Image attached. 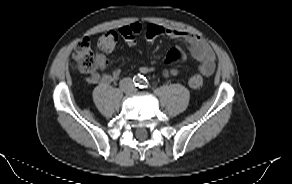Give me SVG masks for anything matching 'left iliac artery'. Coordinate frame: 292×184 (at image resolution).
Instances as JSON below:
<instances>
[{"label":"left iliac artery","instance_id":"44dca946","mask_svg":"<svg viewBox=\"0 0 292 184\" xmlns=\"http://www.w3.org/2000/svg\"><path fill=\"white\" fill-rule=\"evenodd\" d=\"M139 87H140V88H144V89H146V88L149 87V82L147 81L146 78H144V79L141 80V84H140Z\"/></svg>","mask_w":292,"mask_h":184}]
</instances>
